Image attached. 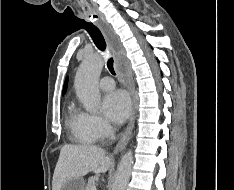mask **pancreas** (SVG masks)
Returning <instances> with one entry per match:
<instances>
[{
	"instance_id": "pancreas-1",
	"label": "pancreas",
	"mask_w": 234,
	"mask_h": 190,
	"mask_svg": "<svg viewBox=\"0 0 234 190\" xmlns=\"http://www.w3.org/2000/svg\"><path fill=\"white\" fill-rule=\"evenodd\" d=\"M93 186H95V179H94L93 177H90V178L88 179V183H87V185H86V187H85V190H91V188H92Z\"/></svg>"
}]
</instances>
